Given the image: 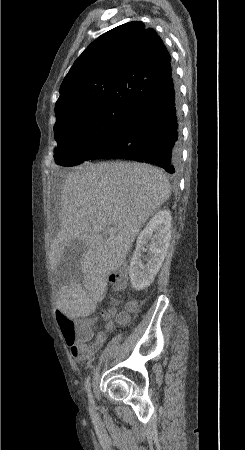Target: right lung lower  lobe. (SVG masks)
<instances>
[{
  "instance_id": "98d812e1",
  "label": "right lung lower lobe",
  "mask_w": 245,
  "mask_h": 450,
  "mask_svg": "<svg viewBox=\"0 0 245 450\" xmlns=\"http://www.w3.org/2000/svg\"><path fill=\"white\" fill-rule=\"evenodd\" d=\"M179 114L178 91L172 74L132 107L122 135L89 159H129L177 173L181 159Z\"/></svg>"
}]
</instances>
